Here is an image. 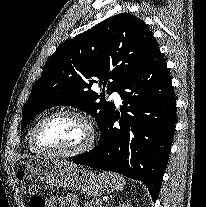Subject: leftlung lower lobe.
<instances>
[{
    "instance_id": "1",
    "label": "left lung lower lobe",
    "mask_w": 206,
    "mask_h": 207,
    "mask_svg": "<svg viewBox=\"0 0 206 207\" xmlns=\"http://www.w3.org/2000/svg\"><path fill=\"white\" fill-rule=\"evenodd\" d=\"M121 113L113 112L98 145L73 162L142 181L153 201L167 167L176 122V99L166 62L155 47L122 84ZM119 119L120 128L114 127Z\"/></svg>"
}]
</instances>
